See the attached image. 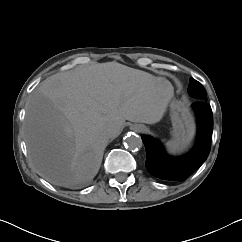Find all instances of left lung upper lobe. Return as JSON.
Segmentation results:
<instances>
[{
  "instance_id": "left-lung-upper-lobe-1",
  "label": "left lung upper lobe",
  "mask_w": 242,
  "mask_h": 242,
  "mask_svg": "<svg viewBox=\"0 0 242 242\" xmlns=\"http://www.w3.org/2000/svg\"><path fill=\"white\" fill-rule=\"evenodd\" d=\"M188 92L191 96L195 97L198 100L207 101L206 91L201 83L196 81L193 78H190V83L188 86Z\"/></svg>"
}]
</instances>
